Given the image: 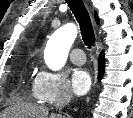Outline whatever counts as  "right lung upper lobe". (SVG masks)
<instances>
[{
	"label": "right lung upper lobe",
	"instance_id": "cb5924a9",
	"mask_svg": "<svg viewBox=\"0 0 133 118\" xmlns=\"http://www.w3.org/2000/svg\"><path fill=\"white\" fill-rule=\"evenodd\" d=\"M95 19H96V23L99 24V18L96 13H95Z\"/></svg>",
	"mask_w": 133,
	"mask_h": 118
}]
</instances>
